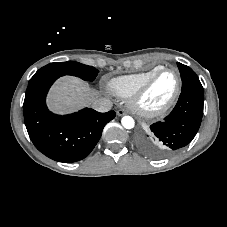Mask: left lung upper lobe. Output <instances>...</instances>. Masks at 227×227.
Segmentation results:
<instances>
[{
	"label": "left lung upper lobe",
	"mask_w": 227,
	"mask_h": 227,
	"mask_svg": "<svg viewBox=\"0 0 227 227\" xmlns=\"http://www.w3.org/2000/svg\"><path fill=\"white\" fill-rule=\"evenodd\" d=\"M177 66L179 68V71L181 73V79H182V90H185L187 88L195 89L198 91H203V87L196 75V73L188 66L177 63Z\"/></svg>",
	"instance_id": "1"
}]
</instances>
